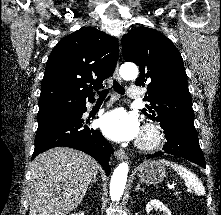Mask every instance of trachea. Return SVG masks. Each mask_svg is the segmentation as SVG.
<instances>
[{
  "instance_id": "obj_1",
  "label": "trachea",
  "mask_w": 221,
  "mask_h": 215,
  "mask_svg": "<svg viewBox=\"0 0 221 215\" xmlns=\"http://www.w3.org/2000/svg\"><path fill=\"white\" fill-rule=\"evenodd\" d=\"M113 88L116 92H118L121 95H123L125 93V89L116 80L113 81ZM107 93H108L107 90L98 92L99 100H104Z\"/></svg>"
}]
</instances>
